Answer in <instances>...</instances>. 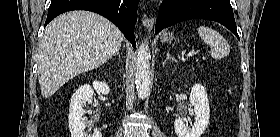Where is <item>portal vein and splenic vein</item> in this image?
I'll list each match as a JSON object with an SVG mask.
<instances>
[{"mask_svg": "<svg viewBox=\"0 0 280 137\" xmlns=\"http://www.w3.org/2000/svg\"><path fill=\"white\" fill-rule=\"evenodd\" d=\"M198 53H199V51H190V52L187 54V57H191V56L196 55V54H198Z\"/></svg>", "mask_w": 280, "mask_h": 137, "instance_id": "portal-vein-and-splenic-vein-1", "label": "portal vein and splenic vein"}]
</instances>
